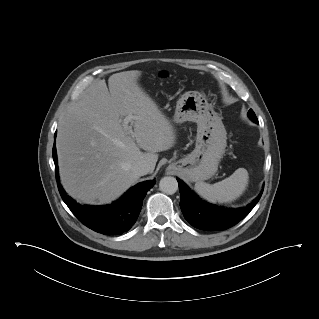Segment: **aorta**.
<instances>
[{
	"instance_id": "1",
	"label": "aorta",
	"mask_w": 319,
	"mask_h": 319,
	"mask_svg": "<svg viewBox=\"0 0 319 319\" xmlns=\"http://www.w3.org/2000/svg\"><path fill=\"white\" fill-rule=\"evenodd\" d=\"M159 189L166 194L172 195L178 190L176 178L171 176L163 177L159 183Z\"/></svg>"
}]
</instances>
